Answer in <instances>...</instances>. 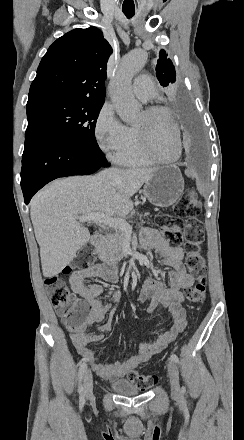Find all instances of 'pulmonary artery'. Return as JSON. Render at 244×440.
Here are the masks:
<instances>
[{"label":"pulmonary artery","mask_w":244,"mask_h":440,"mask_svg":"<svg viewBox=\"0 0 244 440\" xmlns=\"http://www.w3.org/2000/svg\"><path fill=\"white\" fill-rule=\"evenodd\" d=\"M141 75H135V91L134 94L143 103L149 102L151 99L157 98V91L154 90V83L149 82V75H146V71H141Z\"/></svg>","instance_id":"pulmonary-artery-1"}]
</instances>
